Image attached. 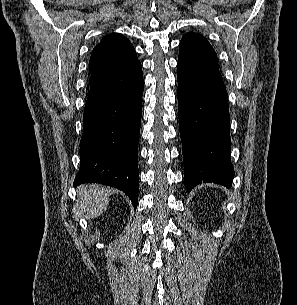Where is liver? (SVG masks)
Listing matches in <instances>:
<instances>
[{"instance_id": "liver-1", "label": "liver", "mask_w": 297, "mask_h": 305, "mask_svg": "<svg viewBox=\"0 0 297 305\" xmlns=\"http://www.w3.org/2000/svg\"><path fill=\"white\" fill-rule=\"evenodd\" d=\"M109 204V190L97 184L83 185L78 190L77 208L89 218L100 216Z\"/></svg>"}]
</instances>
